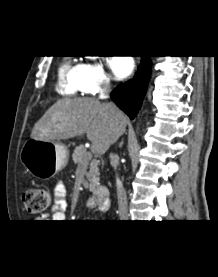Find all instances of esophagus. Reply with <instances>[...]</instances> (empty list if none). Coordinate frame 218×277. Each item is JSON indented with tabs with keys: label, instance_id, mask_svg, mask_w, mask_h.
<instances>
[{
	"label": "esophagus",
	"instance_id": "esophagus-1",
	"mask_svg": "<svg viewBox=\"0 0 218 277\" xmlns=\"http://www.w3.org/2000/svg\"><path fill=\"white\" fill-rule=\"evenodd\" d=\"M139 61H140V58H138L137 62L139 63Z\"/></svg>",
	"mask_w": 218,
	"mask_h": 277
}]
</instances>
